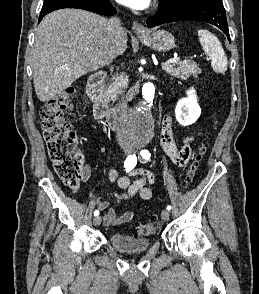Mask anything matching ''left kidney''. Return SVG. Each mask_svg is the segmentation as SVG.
Here are the masks:
<instances>
[{"instance_id":"left-kidney-1","label":"left kidney","mask_w":259,"mask_h":294,"mask_svg":"<svg viewBox=\"0 0 259 294\" xmlns=\"http://www.w3.org/2000/svg\"><path fill=\"white\" fill-rule=\"evenodd\" d=\"M187 97L178 101L175 109L176 120L183 126H189L197 121L201 108L197 102L196 91L187 90Z\"/></svg>"}]
</instances>
